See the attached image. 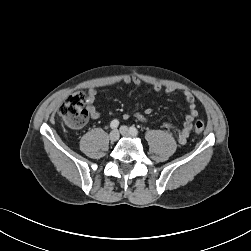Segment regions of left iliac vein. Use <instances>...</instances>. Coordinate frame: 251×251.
Here are the masks:
<instances>
[{"label": "left iliac vein", "instance_id": "obj_1", "mask_svg": "<svg viewBox=\"0 0 251 251\" xmlns=\"http://www.w3.org/2000/svg\"><path fill=\"white\" fill-rule=\"evenodd\" d=\"M120 133L123 135V136H127V137H134L136 136L135 134H133L128 127L126 126H121L120 127Z\"/></svg>", "mask_w": 251, "mask_h": 251}]
</instances>
